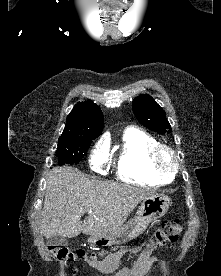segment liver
I'll use <instances>...</instances> for the list:
<instances>
[{
  "mask_svg": "<svg viewBox=\"0 0 221 276\" xmlns=\"http://www.w3.org/2000/svg\"><path fill=\"white\" fill-rule=\"evenodd\" d=\"M153 194L150 189L89 179L70 167H55L47 179L41 230L47 239L53 235L72 238L81 232L109 234L123 226L135 207ZM84 211L88 216L82 222Z\"/></svg>",
  "mask_w": 221,
  "mask_h": 276,
  "instance_id": "1",
  "label": "liver"
}]
</instances>
